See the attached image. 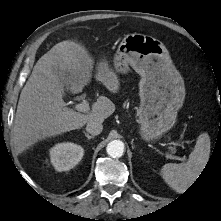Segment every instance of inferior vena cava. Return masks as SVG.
<instances>
[{
	"mask_svg": "<svg viewBox=\"0 0 221 221\" xmlns=\"http://www.w3.org/2000/svg\"><path fill=\"white\" fill-rule=\"evenodd\" d=\"M86 130L93 136L99 135L103 130L102 122L99 120H92L87 123Z\"/></svg>",
	"mask_w": 221,
	"mask_h": 221,
	"instance_id": "obj_1",
	"label": "inferior vena cava"
}]
</instances>
